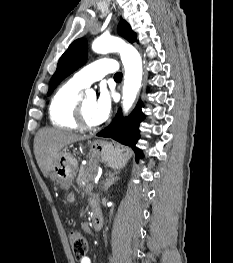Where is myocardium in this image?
Returning <instances> with one entry per match:
<instances>
[{
    "label": "myocardium",
    "mask_w": 233,
    "mask_h": 263,
    "mask_svg": "<svg viewBox=\"0 0 233 263\" xmlns=\"http://www.w3.org/2000/svg\"><path fill=\"white\" fill-rule=\"evenodd\" d=\"M76 121L78 123V126L83 130H95L97 128L96 125H92L87 122L85 116H84V110H83V102L79 99L77 106H76Z\"/></svg>",
    "instance_id": "1"
}]
</instances>
